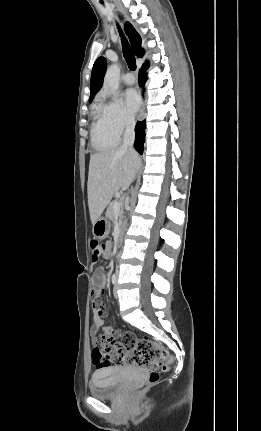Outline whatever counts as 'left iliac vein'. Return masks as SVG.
<instances>
[{"instance_id":"left-iliac-vein-1","label":"left iliac vein","mask_w":261,"mask_h":431,"mask_svg":"<svg viewBox=\"0 0 261 431\" xmlns=\"http://www.w3.org/2000/svg\"><path fill=\"white\" fill-rule=\"evenodd\" d=\"M117 289H118V286H117V283H116L115 287H114V290H113L115 297H117Z\"/></svg>"}]
</instances>
